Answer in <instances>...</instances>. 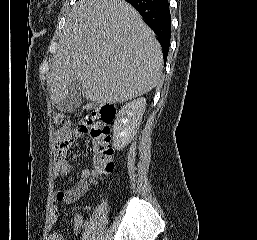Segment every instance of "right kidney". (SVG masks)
<instances>
[{
    "mask_svg": "<svg viewBox=\"0 0 257 240\" xmlns=\"http://www.w3.org/2000/svg\"><path fill=\"white\" fill-rule=\"evenodd\" d=\"M146 99L138 98L124 105L118 112L113 127V145L122 150L133 139L145 112Z\"/></svg>",
    "mask_w": 257,
    "mask_h": 240,
    "instance_id": "ca27d5eb",
    "label": "right kidney"
}]
</instances>
